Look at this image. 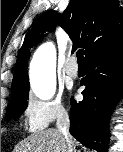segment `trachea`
Instances as JSON below:
<instances>
[{
    "instance_id": "trachea-1",
    "label": "trachea",
    "mask_w": 123,
    "mask_h": 152,
    "mask_svg": "<svg viewBox=\"0 0 123 152\" xmlns=\"http://www.w3.org/2000/svg\"><path fill=\"white\" fill-rule=\"evenodd\" d=\"M83 54H84L83 49H80V50L77 51L76 56L78 58V64H84L85 63Z\"/></svg>"
}]
</instances>
